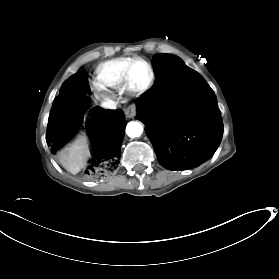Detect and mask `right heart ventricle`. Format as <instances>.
<instances>
[{"mask_svg":"<svg viewBox=\"0 0 279 279\" xmlns=\"http://www.w3.org/2000/svg\"><path fill=\"white\" fill-rule=\"evenodd\" d=\"M130 60L120 57L101 63L96 69V84L100 87H123L125 68Z\"/></svg>","mask_w":279,"mask_h":279,"instance_id":"obj_1","label":"right heart ventricle"}]
</instances>
